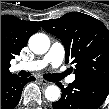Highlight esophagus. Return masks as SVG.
<instances>
[{"instance_id": "34e87169", "label": "esophagus", "mask_w": 109, "mask_h": 109, "mask_svg": "<svg viewBox=\"0 0 109 109\" xmlns=\"http://www.w3.org/2000/svg\"><path fill=\"white\" fill-rule=\"evenodd\" d=\"M40 82H41L42 85H44V86H48V85L51 84L50 82H48V81H46V80H44V79H40Z\"/></svg>"}]
</instances>
